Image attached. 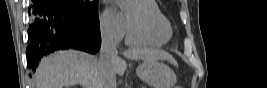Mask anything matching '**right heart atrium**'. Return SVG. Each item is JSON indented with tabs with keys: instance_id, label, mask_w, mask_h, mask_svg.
<instances>
[{
	"instance_id": "d8ad5b80",
	"label": "right heart atrium",
	"mask_w": 267,
	"mask_h": 88,
	"mask_svg": "<svg viewBox=\"0 0 267 88\" xmlns=\"http://www.w3.org/2000/svg\"><path fill=\"white\" fill-rule=\"evenodd\" d=\"M102 35L114 42H120L126 33V24L123 15L115 9H107L100 17Z\"/></svg>"
}]
</instances>
